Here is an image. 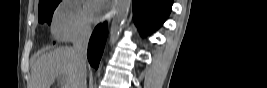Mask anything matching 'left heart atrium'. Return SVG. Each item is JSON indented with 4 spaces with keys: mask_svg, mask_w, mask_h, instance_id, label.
<instances>
[{
    "mask_svg": "<svg viewBox=\"0 0 267 88\" xmlns=\"http://www.w3.org/2000/svg\"><path fill=\"white\" fill-rule=\"evenodd\" d=\"M85 12L89 20L96 22L105 12V4L97 0L88 1L85 5Z\"/></svg>",
    "mask_w": 267,
    "mask_h": 88,
    "instance_id": "obj_1",
    "label": "left heart atrium"
}]
</instances>
